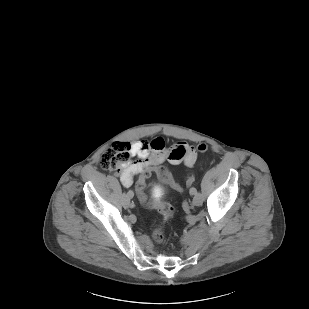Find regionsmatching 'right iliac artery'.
I'll list each match as a JSON object with an SVG mask.
<instances>
[{"mask_svg": "<svg viewBox=\"0 0 309 309\" xmlns=\"http://www.w3.org/2000/svg\"><path fill=\"white\" fill-rule=\"evenodd\" d=\"M134 191L131 188L127 189V197H133Z\"/></svg>", "mask_w": 309, "mask_h": 309, "instance_id": "82829eb1", "label": "right iliac artery"}]
</instances>
